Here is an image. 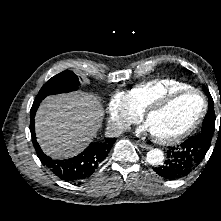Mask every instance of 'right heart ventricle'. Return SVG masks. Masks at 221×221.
Wrapping results in <instances>:
<instances>
[{"label":"right heart ventricle","mask_w":221,"mask_h":221,"mask_svg":"<svg viewBox=\"0 0 221 221\" xmlns=\"http://www.w3.org/2000/svg\"><path fill=\"white\" fill-rule=\"evenodd\" d=\"M187 83L172 79L158 78L150 81H145L134 85L131 89L125 92L131 108L138 114L142 112L155 100L165 94L189 88Z\"/></svg>","instance_id":"1"}]
</instances>
